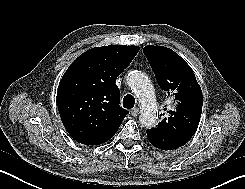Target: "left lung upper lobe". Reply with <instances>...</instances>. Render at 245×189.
Returning a JSON list of instances; mask_svg holds the SVG:
<instances>
[{"mask_svg":"<svg viewBox=\"0 0 245 189\" xmlns=\"http://www.w3.org/2000/svg\"><path fill=\"white\" fill-rule=\"evenodd\" d=\"M143 53L159 86L174 103L172 110L164 108L167 116L155 128L147 130L148 140L156 148L177 149L191 139L198 127L203 105L201 88L191 67L173 50L148 45Z\"/></svg>","mask_w":245,"mask_h":189,"instance_id":"left-lung-upper-lobe-1","label":"left lung upper lobe"}]
</instances>
